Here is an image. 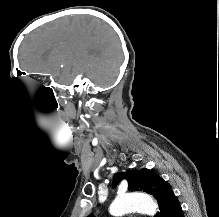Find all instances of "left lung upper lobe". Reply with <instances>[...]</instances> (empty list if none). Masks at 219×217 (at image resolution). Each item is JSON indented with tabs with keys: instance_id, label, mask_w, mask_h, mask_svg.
Returning <instances> with one entry per match:
<instances>
[{
	"instance_id": "left-lung-upper-lobe-1",
	"label": "left lung upper lobe",
	"mask_w": 219,
	"mask_h": 217,
	"mask_svg": "<svg viewBox=\"0 0 219 217\" xmlns=\"http://www.w3.org/2000/svg\"><path fill=\"white\" fill-rule=\"evenodd\" d=\"M123 179L128 181L129 191H143L157 199L159 212L155 217H168L174 204L179 202L172 191L171 185L156 172L147 168L117 173L114 176L113 184L117 185ZM88 217L94 216L90 214Z\"/></svg>"
}]
</instances>
